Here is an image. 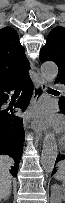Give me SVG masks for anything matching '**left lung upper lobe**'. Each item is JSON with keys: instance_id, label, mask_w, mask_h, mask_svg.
Masks as SVG:
<instances>
[{"instance_id": "1", "label": "left lung upper lobe", "mask_w": 65, "mask_h": 203, "mask_svg": "<svg viewBox=\"0 0 65 203\" xmlns=\"http://www.w3.org/2000/svg\"><path fill=\"white\" fill-rule=\"evenodd\" d=\"M41 61H54L59 68L57 80L65 82V28L55 27L47 36L46 44L40 52ZM60 105H65V97L60 99Z\"/></svg>"}]
</instances>
